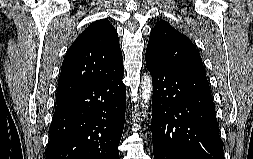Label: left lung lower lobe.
Wrapping results in <instances>:
<instances>
[{
    "instance_id": "1",
    "label": "left lung lower lobe",
    "mask_w": 253,
    "mask_h": 159,
    "mask_svg": "<svg viewBox=\"0 0 253 159\" xmlns=\"http://www.w3.org/2000/svg\"><path fill=\"white\" fill-rule=\"evenodd\" d=\"M146 67L153 76L154 159H224L206 73Z\"/></svg>"
}]
</instances>
